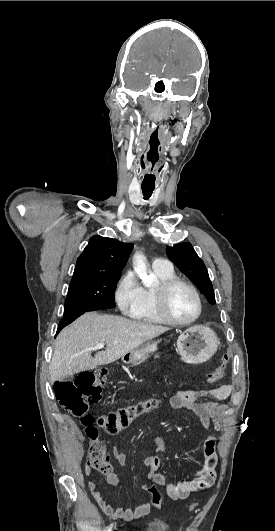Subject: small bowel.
<instances>
[{
  "mask_svg": "<svg viewBox=\"0 0 275 531\" xmlns=\"http://www.w3.org/2000/svg\"><path fill=\"white\" fill-rule=\"evenodd\" d=\"M232 391L233 387L230 384H224L211 390L177 389L170 398V406L173 410H189L193 412L199 417L206 431V437L202 444L204 455L202 471L200 476L194 481L179 484L170 483L158 471L159 459L156 455H149L144 458L143 464L148 471L149 477L155 484L166 488L167 496L171 500H186L192 493L205 491L214 483L218 464L215 433L222 427L221 414L224 409V405L220 401L228 399ZM153 444L157 454L164 453L167 450V446L159 435L153 438ZM112 455L120 465L127 463L128 457L119 447H113ZM92 473L91 466L86 465L84 474L89 476ZM107 481L115 486L120 484L119 478L112 471L107 473ZM88 487L98 506L111 519L130 521L146 516L150 512V505L146 502H140L134 509L116 507L106 500L95 482H88Z\"/></svg>",
  "mask_w": 275,
  "mask_h": 531,
  "instance_id": "small-bowel-1",
  "label": "small bowel"
}]
</instances>
